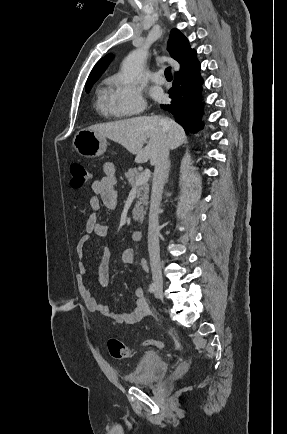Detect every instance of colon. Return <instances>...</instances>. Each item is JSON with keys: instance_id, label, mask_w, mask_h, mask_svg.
Masks as SVG:
<instances>
[{"instance_id": "5ec220e1", "label": "colon", "mask_w": 287, "mask_h": 434, "mask_svg": "<svg viewBox=\"0 0 287 434\" xmlns=\"http://www.w3.org/2000/svg\"><path fill=\"white\" fill-rule=\"evenodd\" d=\"M70 170L72 174L71 186L73 188H80L94 178V172L82 164H72ZM107 345L110 355L115 359H128L133 355L132 349L116 338L109 339ZM143 346L147 348H163L164 343L156 339H150L146 340Z\"/></svg>"}]
</instances>
